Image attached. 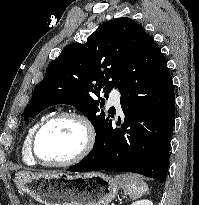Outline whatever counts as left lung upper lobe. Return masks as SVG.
<instances>
[{
    "instance_id": "obj_1",
    "label": "left lung upper lobe",
    "mask_w": 199,
    "mask_h": 205,
    "mask_svg": "<svg viewBox=\"0 0 199 205\" xmlns=\"http://www.w3.org/2000/svg\"><path fill=\"white\" fill-rule=\"evenodd\" d=\"M144 32L132 19L116 18L99 26L86 43L67 46L35 87L24 111L25 123L48 106L68 104L88 117L99 135L114 117L112 110H102L100 95L108 98L113 88H120Z\"/></svg>"
}]
</instances>
